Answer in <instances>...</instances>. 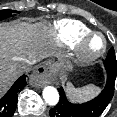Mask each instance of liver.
Returning <instances> with one entry per match:
<instances>
[{
	"instance_id": "obj_1",
	"label": "liver",
	"mask_w": 117,
	"mask_h": 117,
	"mask_svg": "<svg viewBox=\"0 0 117 117\" xmlns=\"http://www.w3.org/2000/svg\"><path fill=\"white\" fill-rule=\"evenodd\" d=\"M52 30L39 24H0V97L22 74L20 66L57 55Z\"/></svg>"
}]
</instances>
